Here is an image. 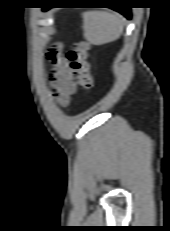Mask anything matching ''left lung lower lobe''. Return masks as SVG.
<instances>
[{"mask_svg":"<svg viewBox=\"0 0 170 231\" xmlns=\"http://www.w3.org/2000/svg\"><path fill=\"white\" fill-rule=\"evenodd\" d=\"M116 6H120V4H113ZM111 9H114L121 14H123L127 19H131V9L130 7H110ZM49 8H44V10H48Z\"/></svg>","mask_w":170,"mask_h":231,"instance_id":"0a47b994","label":"left lung lower lobe"}]
</instances>
